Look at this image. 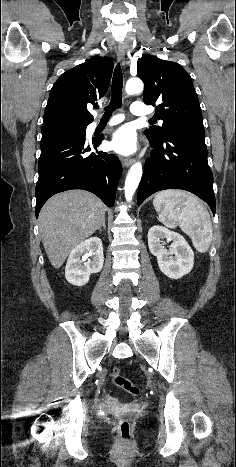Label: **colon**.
Returning <instances> with one entry per match:
<instances>
[{"label":"colon","mask_w":236,"mask_h":467,"mask_svg":"<svg viewBox=\"0 0 236 467\" xmlns=\"http://www.w3.org/2000/svg\"><path fill=\"white\" fill-rule=\"evenodd\" d=\"M111 376L116 386L122 388L123 390L134 396L140 394V389L137 386H135L128 378L122 375L120 368H113ZM118 433L122 443L128 444L131 442V424L127 420H120L118 422Z\"/></svg>","instance_id":"colon-1"}]
</instances>
